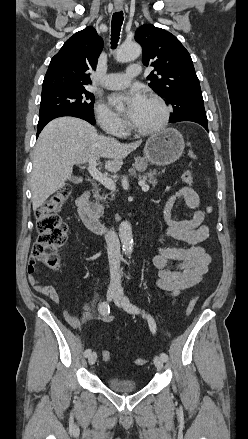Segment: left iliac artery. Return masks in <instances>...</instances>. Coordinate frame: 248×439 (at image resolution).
<instances>
[{"mask_svg":"<svg viewBox=\"0 0 248 439\" xmlns=\"http://www.w3.org/2000/svg\"><path fill=\"white\" fill-rule=\"evenodd\" d=\"M125 309H126V311H128L130 313H136V314L142 313L143 316L146 317L147 320H148L151 332L153 334L156 332V323H155L154 319L150 315L145 314L144 311H141V309L139 307H137L136 305L130 303L129 301H127V303L125 304ZM160 357L163 359V361H167L168 360V355L166 353H164V352H162L160 354Z\"/></svg>","mask_w":248,"mask_h":439,"instance_id":"1","label":"left iliac artery"}]
</instances>
